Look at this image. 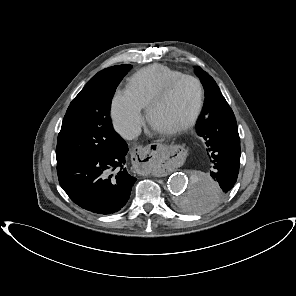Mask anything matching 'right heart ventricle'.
Wrapping results in <instances>:
<instances>
[{
  "label": "right heart ventricle",
  "instance_id": "1",
  "mask_svg": "<svg viewBox=\"0 0 296 296\" xmlns=\"http://www.w3.org/2000/svg\"><path fill=\"white\" fill-rule=\"evenodd\" d=\"M181 75L168 66L153 64L137 71L128 80L126 91L141 108H146L171 80Z\"/></svg>",
  "mask_w": 296,
  "mask_h": 296
}]
</instances>
